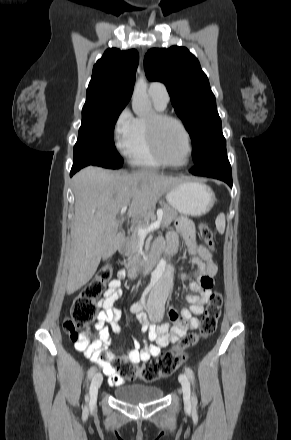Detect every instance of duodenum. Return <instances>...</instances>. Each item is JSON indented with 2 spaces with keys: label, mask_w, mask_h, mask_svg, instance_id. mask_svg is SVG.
<instances>
[{
  "label": "duodenum",
  "mask_w": 291,
  "mask_h": 440,
  "mask_svg": "<svg viewBox=\"0 0 291 440\" xmlns=\"http://www.w3.org/2000/svg\"><path fill=\"white\" fill-rule=\"evenodd\" d=\"M117 241L122 240L121 235H117L115 237ZM159 254L155 250H151L149 253L145 254L144 258L141 262H139L137 265L131 267L128 270V276L130 278H136L139 276L146 275L152 271L154 268L157 260H158Z\"/></svg>",
  "instance_id": "duodenum-1"
}]
</instances>
